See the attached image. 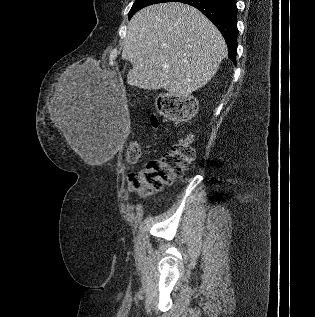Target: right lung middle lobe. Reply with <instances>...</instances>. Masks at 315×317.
I'll list each match as a JSON object with an SVG mask.
<instances>
[{
    "label": "right lung middle lobe",
    "instance_id": "right-lung-middle-lobe-1",
    "mask_svg": "<svg viewBox=\"0 0 315 317\" xmlns=\"http://www.w3.org/2000/svg\"><path fill=\"white\" fill-rule=\"evenodd\" d=\"M177 0H136L129 12V18H131L138 10L156 3L175 2Z\"/></svg>",
    "mask_w": 315,
    "mask_h": 317
}]
</instances>
